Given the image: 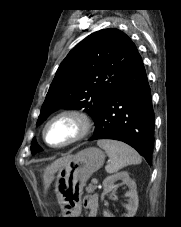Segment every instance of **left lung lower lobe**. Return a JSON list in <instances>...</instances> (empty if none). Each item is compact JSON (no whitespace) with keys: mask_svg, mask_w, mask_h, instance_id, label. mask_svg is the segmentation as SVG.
Masks as SVG:
<instances>
[{"mask_svg":"<svg viewBox=\"0 0 181 227\" xmlns=\"http://www.w3.org/2000/svg\"><path fill=\"white\" fill-rule=\"evenodd\" d=\"M95 125L96 130L90 140L123 141L151 163L155 115L151 90L139 54L114 88Z\"/></svg>","mask_w":181,"mask_h":227,"instance_id":"obj_1","label":"left lung lower lobe"}]
</instances>
